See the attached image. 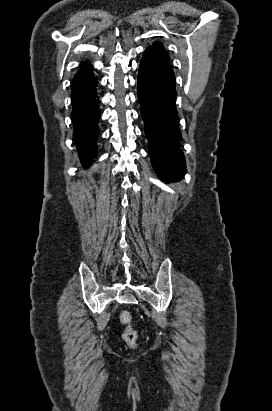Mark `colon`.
Returning <instances> with one entry per match:
<instances>
[{
	"mask_svg": "<svg viewBox=\"0 0 272 411\" xmlns=\"http://www.w3.org/2000/svg\"><path fill=\"white\" fill-rule=\"evenodd\" d=\"M120 322L125 326V330L123 332V340L130 348H135L137 346L138 341V333L132 327V316L129 312L124 311L120 315Z\"/></svg>",
	"mask_w": 272,
	"mask_h": 411,
	"instance_id": "5ec220e1",
	"label": "colon"
}]
</instances>
